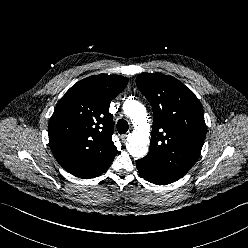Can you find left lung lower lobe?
I'll return each mask as SVG.
<instances>
[{
  "instance_id": "1",
  "label": "left lung lower lobe",
  "mask_w": 248,
  "mask_h": 248,
  "mask_svg": "<svg viewBox=\"0 0 248 248\" xmlns=\"http://www.w3.org/2000/svg\"><path fill=\"white\" fill-rule=\"evenodd\" d=\"M136 165L140 175L145 180L154 184H169L179 179L153 167V165L145 158L137 160Z\"/></svg>"
}]
</instances>
